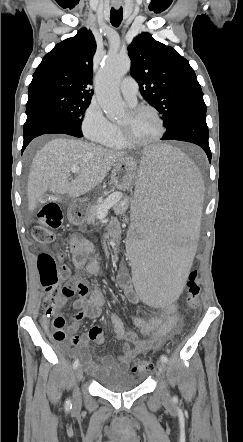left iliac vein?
I'll return each instance as SVG.
<instances>
[{
	"label": "left iliac vein",
	"mask_w": 243,
	"mask_h": 442,
	"mask_svg": "<svg viewBox=\"0 0 243 442\" xmlns=\"http://www.w3.org/2000/svg\"><path fill=\"white\" fill-rule=\"evenodd\" d=\"M157 369L160 373H165L166 372V367H165V363L162 360H158L157 361ZM163 399L164 400H169L170 399V394L167 388L164 389L163 392Z\"/></svg>",
	"instance_id": "1"
}]
</instances>
